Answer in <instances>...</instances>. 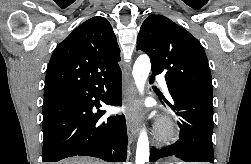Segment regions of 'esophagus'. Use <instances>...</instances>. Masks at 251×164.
<instances>
[{
  "label": "esophagus",
  "mask_w": 251,
  "mask_h": 164,
  "mask_svg": "<svg viewBox=\"0 0 251 164\" xmlns=\"http://www.w3.org/2000/svg\"><path fill=\"white\" fill-rule=\"evenodd\" d=\"M125 97L128 106V113L126 116L127 127L130 135L136 137L139 132V114L132 108L136 98V91L133 83L129 84Z\"/></svg>",
  "instance_id": "34e87169"
}]
</instances>
